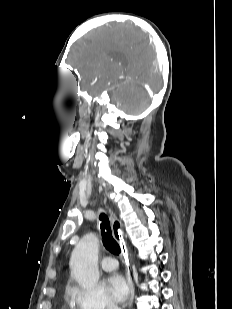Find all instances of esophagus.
Wrapping results in <instances>:
<instances>
[{"mask_svg":"<svg viewBox=\"0 0 232 309\" xmlns=\"http://www.w3.org/2000/svg\"><path fill=\"white\" fill-rule=\"evenodd\" d=\"M111 226H112L113 236L119 242L121 246L123 259H124L125 266H126V276H127V281L130 287V296H129L127 305L130 308L132 307V304H133L135 288H134V284L132 280L131 265H130V261H129V257L127 253L126 242L124 240L123 225L121 221L117 219V217L112 215Z\"/></svg>","mask_w":232,"mask_h":309,"instance_id":"esophagus-1","label":"esophagus"}]
</instances>
